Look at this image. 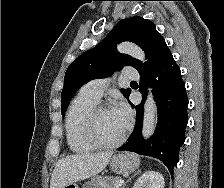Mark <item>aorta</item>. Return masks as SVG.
<instances>
[{
    "instance_id": "1",
    "label": "aorta",
    "mask_w": 224,
    "mask_h": 188,
    "mask_svg": "<svg viewBox=\"0 0 224 188\" xmlns=\"http://www.w3.org/2000/svg\"><path fill=\"white\" fill-rule=\"evenodd\" d=\"M118 51L121 53L128 54L136 59L145 61V54L137 45L129 42H124L118 46ZM157 116V106L154 97L149 89L145 104H144V115H143V127L142 136L144 139H148L152 136Z\"/></svg>"
}]
</instances>
